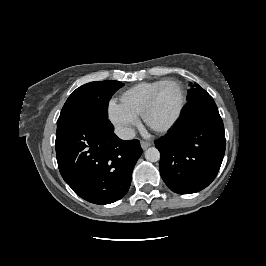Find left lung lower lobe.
<instances>
[{"label":"left lung lower lobe","mask_w":266,"mask_h":266,"mask_svg":"<svg viewBox=\"0 0 266 266\" xmlns=\"http://www.w3.org/2000/svg\"><path fill=\"white\" fill-rule=\"evenodd\" d=\"M155 147L160 151L161 177L172 191L191 194L206 188L225 154L224 125L213 98L205 93L190 100Z\"/></svg>","instance_id":"0a47b994"}]
</instances>
